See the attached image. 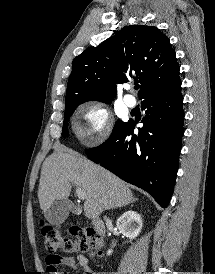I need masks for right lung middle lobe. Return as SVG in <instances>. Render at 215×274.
<instances>
[{
	"mask_svg": "<svg viewBox=\"0 0 215 274\" xmlns=\"http://www.w3.org/2000/svg\"><path fill=\"white\" fill-rule=\"evenodd\" d=\"M81 103H83V102H81ZM81 103H77V104L65 106V117H64V123H63L62 136H67V134H68V131H67V120H68L69 116L73 113V111L76 109V107L79 104H81ZM122 123H123L122 121H117L115 123V127H114L113 131H115L118 127H120V125Z\"/></svg>",
	"mask_w": 215,
	"mask_h": 274,
	"instance_id": "dd1d6c3e",
	"label": "right lung middle lobe"
}]
</instances>
